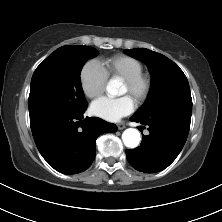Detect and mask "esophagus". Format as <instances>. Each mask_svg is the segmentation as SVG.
Masks as SVG:
<instances>
[{
    "mask_svg": "<svg viewBox=\"0 0 222 222\" xmlns=\"http://www.w3.org/2000/svg\"><path fill=\"white\" fill-rule=\"evenodd\" d=\"M117 127H118L119 130H123L125 128V125L122 124V123H118Z\"/></svg>",
    "mask_w": 222,
    "mask_h": 222,
    "instance_id": "1",
    "label": "esophagus"
}]
</instances>
